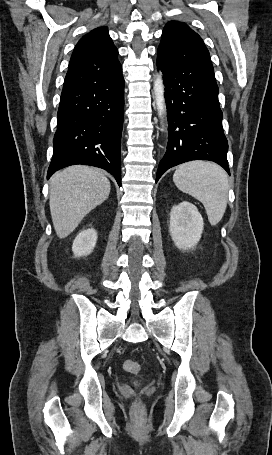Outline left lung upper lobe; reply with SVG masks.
<instances>
[{"mask_svg":"<svg viewBox=\"0 0 272 455\" xmlns=\"http://www.w3.org/2000/svg\"><path fill=\"white\" fill-rule=\"evenodd\" d=\"M157 59L169 67L197 65L213 67L209 51L201 37L187 24L170 21L163 29Z\"/></svg>","mask_w":272,"mask_h":455,"instance_id":"obj_1","label":"left lung upper lobe"}]
</instances>
